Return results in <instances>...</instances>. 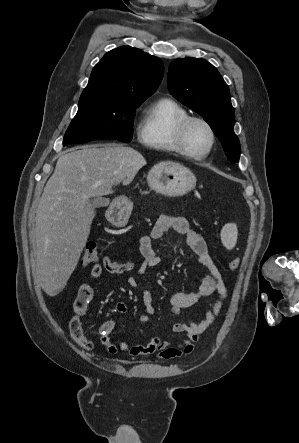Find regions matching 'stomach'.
<instances>
[{
  "label": "stomach",
  "mask_w": 299,
  "mask_h": 443,
  "mask_svg": "<svg viewBox=\"0 0 299 443\" xmlns=\"http://www.w3.org/2000/svg\"><path fill=\"white\" fill-rule=\"evenodd\" d=\"M149 187L166 196H182L191 191L196 184L195 175L177 163L158 164L148 173ZM132 203L126 197L116 198L110 207L108 220L116 226H124L131 214Z\"/></svg>",
  "instance_id": "obj_1"
}]
</instances>
